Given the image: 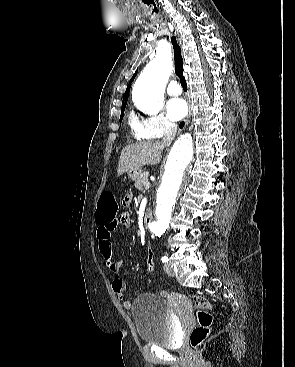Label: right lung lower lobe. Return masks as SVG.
Here are the masks:
<instances>
[{"mask_svg":"<svg viewBox=\"0 0 295 367\" xmlns=\"http://www.w3.org/2000/svg\"><path fill=\"white\" fill-rule=\"evenodd\" d=\"M184 126V122H181L180 123V127L182 128Z\"/></svg>","mask_w":295,"mask_h":367,"instance_id":"right-lung-lower-lobe-1","label":"right lung lower lobe"}]
</instances>
